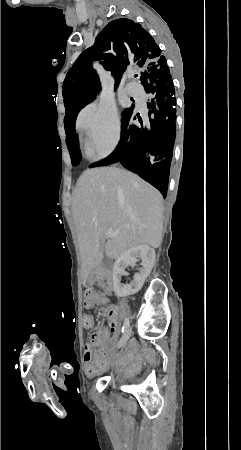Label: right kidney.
Here are the masks:
<instances>
[{
  "instance_id": "1",
  "label": "right kidney",
  "mask_w": 241,
  "mask_h": 450,
  "mask_svg": "<svg viewBox=\"0 0 241 450\" xmlns=\"http://www.w3.org/2000/svg\"><path fill=\"white\" fill-rule=\"evenodd\" d=\"M137 258L142 260V268L138 274H135L133 282L130 284H121L122 276H126V268L128 266H135ZM155 262V250L150 246H135L123 252L113 266V290L116 296L123 298V296H132L141 290L147 276H149Z\"/></svg>"
}]
</instances>
